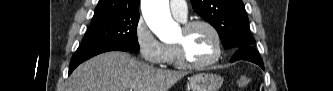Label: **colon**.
I'll list each match as a JSON object with an SVG mask.
<instances>
[{"mask_svg": "<svg viewBox=\"0 0 333 91\" xmlns=\"http://www.w3.org/2000/svg\"><path fill=\"white\" fill-rule=\"evenodd\" d=\"M251 82V79L248 76H241L238 79V86L242 89L246 88Z\"/></svg>", "mask_w": 333, "mask_h": 91, "instance_id": "obj_1", "label": "colon"}]
</instances>
